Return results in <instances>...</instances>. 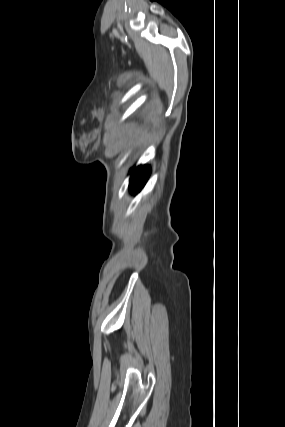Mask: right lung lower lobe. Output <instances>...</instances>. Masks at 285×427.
I'll list each match as a JSON object with an SVG mask.
<instances>
[{
  "label": "right lung lower lobe",
  "instance_id": "right-lung-lower-lobe-1",
  "mask_svg": "<svg viewBox=\"0 0 285 427\" xmlns=\"http://www.w3.org/2000/svg\"><path fill=\"white\" fill-rule=\"evenodd\" d=\"M150 174V167L139 166L132 169V175L130 180V190L132 193H138L143 186Z\"/></svg>",
  "mask_w": 285,
  "mask_h": 427
}]
</instances>
